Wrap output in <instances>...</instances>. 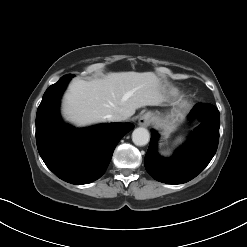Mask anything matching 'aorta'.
I'll use <instances>...</instances> for the list:
<instances>
[{
	"label": "aorta",
	"instance_id": "aorta-1",
	"mask_svg": "<svg viewBox=\"0 0 247 247\" xmlns=\"http://www.w3.org/2000/svg\"><path fill=\"white\" fill-rule=\"evenodd\" d=\"M150 134L146 128H136L132 133V141L137 146H144L149 142Z\"/></svg>",
	"mask_w": 247,
	"mask_h": 247
}]
</instances>
